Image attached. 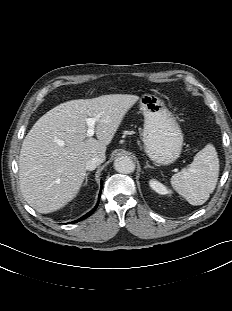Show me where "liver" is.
<instances>
[{
  "mask_svg": "<svg viewBox=\"0 0 232 311\" xmlns=\"http://www.w3.org/2000/svg\"><path fill=\"white\" fill-rule=\"evenodd\" d=\"M138 100L128 94L71 100L40 117L24 138L19 156L20 188L26 202L47 214L76 197L86 176V161L95 156L105 160L107 145ZM97 115V139L87 137L85 119Z\"/></svg>",
  "mask_w": 232,
  "mask_h": 311,
  "instance_id": "obj_1",
  "label": "liver"
}]
</instances>
